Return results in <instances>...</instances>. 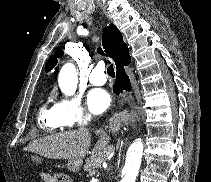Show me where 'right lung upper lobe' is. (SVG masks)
<instances>
[{"instance_id": "cb5924a9", "label": "right lung upper lobe", "mask_w": 211, "mask_h": 182, "mask_svg": "<svg viewBox=\"0 0 211 182\" xmlns=\"http://www.w3.org/2000/svg\"><path fill=\"white\" fill-rule=\"evenodd\" d=\"M102 45H103V50L98 49V52L102 55H106L113 58L115 63L119 60V58L126 49V44L123 41L121 32L113 24H109L104 29L102 36ZM62 56H63V51L57 50L55 54L48 59L45 65V72H49L51 69H53V67L58 62L57 58H60Z\"/></svg>"}]
</instances>
